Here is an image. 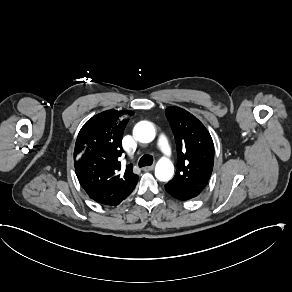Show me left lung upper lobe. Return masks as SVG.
I'll return each instance as SVG.
<instances>
[{
  "mask_svg": "<svg viewBox=\"0 0 292 292\" xmlns=\"http://www.w3.org/2000/svg\"><path fill=\"white\" fill-rule=\"evenodd\" d=\"M165 114L177 147V170L169 182L201 193L211 177L214 165L211 135L194 115L182 108L169 107Z\"/></svg>",
  "mask_w": 292,
  "mask_h": 292,
  "instance_id": "5c2ea615",
  "label": "left lung upper lobe"
}]
</instances>
